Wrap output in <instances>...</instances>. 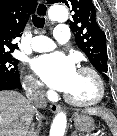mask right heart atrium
<instances>
[{
    "instance_id": "right-heart-atrium-1",
    "label": "right heart atrium",
    "mask_w": 117,
    "mask_h": 136,
    "mask_svg": "<svg viewBox=\"0 0 117 136\" xmlns=\"http://www.w3.org/2000/svg\"><path fill=\"white\" fill-rule=\"evenodd\" d=\"M24 89L30 96L43 97L45 95L42 83L30 74L25 77Z\"/></svg>"
}]
</instances>
